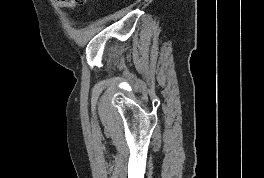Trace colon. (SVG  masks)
<instances>
[{
	"instance_id": "obj_1",
	"label": "colon",
	"mask_w": 264,
	"mask_h": 178,
	"mask_svg": "<svg viewBox=\"0 0 264 178\" xmlns=\"http://www.w3.org/2000/svg\"><path fill=\"white\" fill-rule=\"evenodd\" d=\"M54 1L58 6L64 8H73L76 6L83 5L86 2V0H54Z\"/></svg>"
}]
</instances>
